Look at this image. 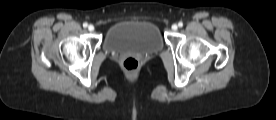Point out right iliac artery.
I'll return each instance as SVG.
<instances>
[{
    "mask_svg": "<svg viewBox=\"0 0 276 120\" xmlns=\"http://www.w3.org/2000/svg\"><path fill=\"white\" fill-rule=\"evenodd\" d=\"M88 26V24L85 22L83 23V27L86 28Z\"/></svg>",
    "mask_w": 276,
    "mask_h": 120,
    "instance_id": "1",
    "label": "right iliac artery"
}]
</instances>
